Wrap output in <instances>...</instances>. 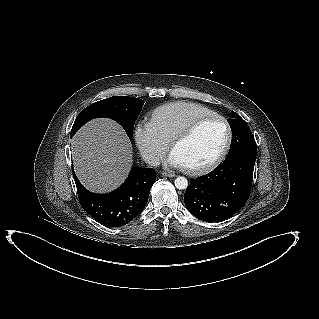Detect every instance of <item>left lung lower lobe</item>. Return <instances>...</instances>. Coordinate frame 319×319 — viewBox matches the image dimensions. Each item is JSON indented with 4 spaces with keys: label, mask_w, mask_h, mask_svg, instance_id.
Instances as JSON below:
<instances>
[{
    "label": "left lung lower lobe",
    "mask_w": 319,
    "mask_h": 319,
    "mask_svg": "<svg viewBox=\"0 0 319 319\" xmlns=\"http://www.w3.org/2000/svg\"><path fill=\"white\" fill-rule=\"evenodd\" d=\"M256 155L235 154L212 172L192 178L184 193L190 213L203 221L221 222L238 212L250 195Z\"/></svg>",
    "instance_id": "0a47b994"
}]
</instances>
